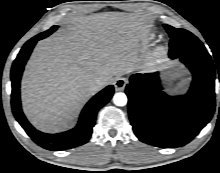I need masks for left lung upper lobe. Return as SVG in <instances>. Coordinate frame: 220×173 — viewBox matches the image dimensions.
Returning a JSON list of instances; mask_svg holds the SVG:
<instances>
[{
  "label": "left lung upper lobe",
  "instance_id": "left-lung-upper-lobe-1",
  "mask_svg": "<svg viewBox=\"0 0 220 173\" xmlns=\"http://www.w3.org/2000/svg\"><path fill=\"white\" fill-rule=\"evenodd\" d=\"M164 27L171 37L169 53L172 52L173 57L177 58L182 54H208L202 42L189 31L169 25Z\"/></svg>",
  "mask_w": 220,
  "mask_h": 173
}]
</instances>
